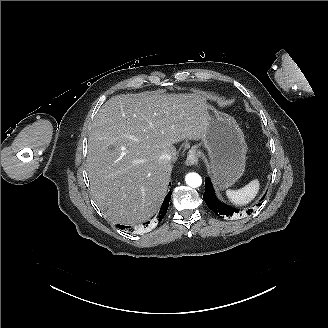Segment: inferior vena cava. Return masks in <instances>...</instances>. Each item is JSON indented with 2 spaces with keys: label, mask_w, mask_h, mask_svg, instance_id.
Returning <instances> with one entry per match:
<instances>
[{
  "label": "inferior vena cava",
  "mask_w": 328,
  "mask_h": 328,
  "mask_svg": "<svg viewBox=\"0 0 328 328\" xmlns=\"http://www.w3.org/2000/svg\"><path fill=\"white\" fill-rule=\"evenodd\" d=\"M162 158H163V159H170V155L167 154V153H166V154H163V155H162Z\"/></svg>",
  "instance_id": "obj_1"
}]
</instances>
